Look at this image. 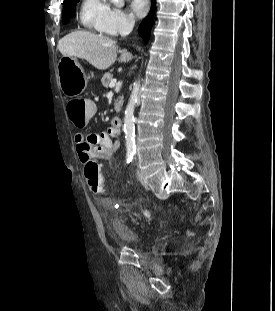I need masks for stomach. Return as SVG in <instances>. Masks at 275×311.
<instances>
[{"instance_id":"obj_1","label":"stomach","mask_w":275,"mask_h":311,"mask_svg":"<svg viewBox=\"0 0 275 311\" xmlns=\"http://www.w3.org/2000/svg\"><path fill=\"white\" fill-rule=\"evenodd\" d=\"M59 84L68 97L82 93L88 83V77L76 57L63 56L57 66Z\"/></svg>"}]
</instances>
